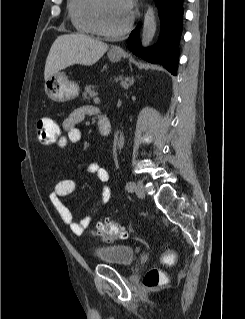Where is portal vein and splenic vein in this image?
Instances as JSON below:
<instances>
[{
	"instance_id": "18ae733b",
	"label": "portal vein and splenic vein",
	"mask_w": 245,
	"mask_h": 319,
	"mask_svg": "<svg viewBox=\"0 0 245 319\" xmlns=\"http://www.w3.org/2000/svg\"><path fill=\"white\" fill-rule=\"evenodd\" d=\"M94 101H95V102H100V99H99L98 97H95V98H94Z\"/></svg>"
}]
</instances>
